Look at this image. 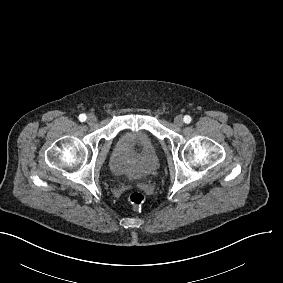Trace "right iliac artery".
Returning <instances> with one entry per match:
<instances>
[{
	"mask_svg": "<svg viewBox=\"0 0 283 283\" xmlns=\"http://www.w3.org/2000/svg\"><path fill=\"white\" fill-rule=\"evenodd\" d=\"M86 115L85 114H80L79 115V120L81 121V122H84L85 120H86Z\"/></svg>",
	"mask_w": 283,
	"mask_h": 283,
	"instance_id": "obj_1",
	"label": "right iliac artery"
}]
</instances>
